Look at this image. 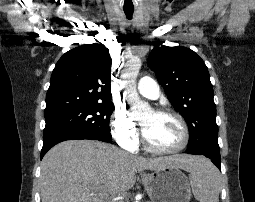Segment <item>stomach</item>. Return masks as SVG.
I'll use <instances>...</instances> for the list:
<instances>
[{
  "label": "stomach",
  "mask_w": 255,
  "mask_h": 202,
  "mask_svg": "<svg viewBox=\"0 0 255 202\" xmlns=\"http://www.w3.org/2000/svg\"><path fill=\"white\" fill-rule=\"evenodd\" d=\"M152 173L149 186H144L152 202H190V185L179 168L167 167Z\"/></svg>",
  "instance_id": "0dacf381"
}]
</instances>
